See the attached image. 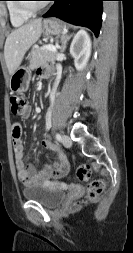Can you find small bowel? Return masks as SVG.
<instances>
[{"mask_svg": "<svg viewBox=\"0 0 133 253\" xmlns=\"http://www.w3.org/2000/svg\"><path fill=\"white\" fill-rule=\"evenodd\" d=\"M39 74L41 77H48L49 70L47 68H40ZM31 114V108L27 107L23 118H28ZM47 128H49V123L47 122ZM12 141L13 150L15 156V164L17 170V176L19 181L23 185H33L41 182H48V179L53 175H59V177L65 176L68 173L69 165L66 158L63 155L57 156L56 160L52 163L45 165L41 172H37L35 168L26 163L24 160L25 148L22 141V126L20 123L15 122L12 125ZM41 146L44 149H49L52 151L57 150L56 145L49 139L45 138L41 142Z\"/></svg>", "mask_w": 133, "mask_h": 253, "instance_id": "obj_1", "label": "small bowel"}]
</instances>
